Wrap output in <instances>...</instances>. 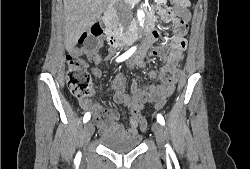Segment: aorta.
I'll return each mask as SVG.
<instances>
[{
	"label": "aorta",
	"mask_w": 250,
	"mask_h": 169,
	"mask_svg": "<svg viewBox=\"0 0 250 169\" xmlns=\"http://www.w3.org/2000/svg\"><path fill=\"white\" fill-rule=\"evenodd\" d=\"M144 16H145V14H144L143 10H140V8H139V10H137V18H138V20H140V26H143V24H144V22H143Z\"/></svg>",
	"instance_id": "762f6f07"
}]
</instances>
